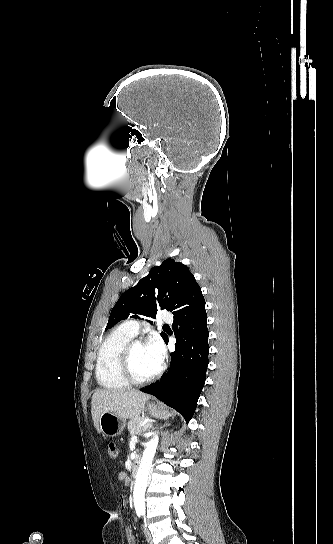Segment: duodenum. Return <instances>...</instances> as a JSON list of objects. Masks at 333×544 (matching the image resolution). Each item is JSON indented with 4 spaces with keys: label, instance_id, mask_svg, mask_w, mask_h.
<instances>
[{
    "label": "duodenum",
    "instance_id": "410a0bca",
    "mask_svg": "<svg viewBox=\"0 0 333 544\" xmlns=\"http://www.w3.org/2000/svg\"><path fill=\"white\" fill-rule=\"evenodd\" d=\"M140 458L139 457H136L131 465V475L133 477H135L138 472H139V469H140Z\"/></svg>",
    "mask_w": 333,
    "mask_h": 544
}]
</instances>
